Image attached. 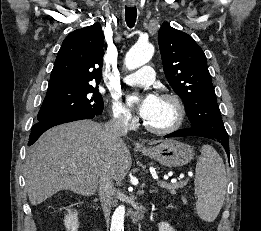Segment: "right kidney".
Returning a JSON list of instances; mask_svg holds the SVG:
<instances>
[{
  "mask_svg": "<svg viewBox=\"0 0 261 231\" xmlns=\"http://www.w3.org/2000/svg\"><path fill=\"white\" fill-rule=\"evenodd\" d=\"M64 225L67 231H78V212L68 210V214L64 218Z\"/></svg>",
  "mask_w": 261,
  "mask_h": 231,
  "instance_id": "ca27d5eb",
  "label": "right kidney"
}]
</instances>
